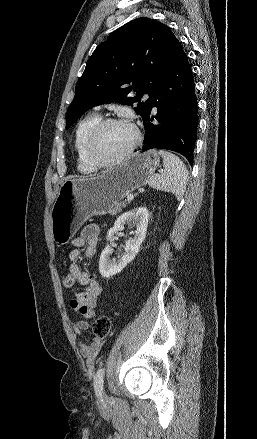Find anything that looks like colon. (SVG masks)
Listing matches in <instances>:
<instances>
[{
    "label": "colon",
    "mask_w": 257,
    "mask_h": 439,
    "mask_svg": "<svg viewBox=\"0 0 257 439\" xmlns=\"http://www.w3.org/2000/svg\"><path fill=\"white\" fill-rule=\"evenodd\" d=\"M75 279L72 274L68 271L63 275V285L65 287H72L74 285ZM93 334L98 338H106L111 331V321L106 316L97 317L92 325Z\"/></svg>",
    "instance_id": "5ec220e1"
}]
</instances>
